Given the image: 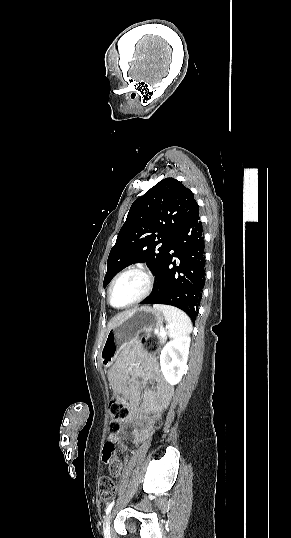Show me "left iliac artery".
<instances>
[{"label":"left iliac artery","instance_id":"obj_1","mask_svg":"<svg viewBox=\"0 0 291 538\" xmlns=\"http://www.w3.org/2000/svg\"><path fill=\"white\" fill-rule=\"evenodd\" d=\"M115 501L113 500L109 505L108 507L106 508V515H108L114 505Z\"/></svg>","mask_w":291,"mask_h":538}]
</instances>
